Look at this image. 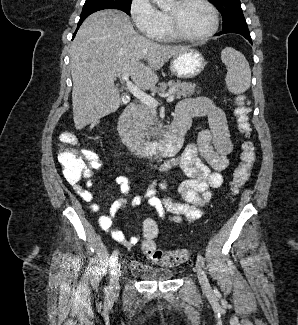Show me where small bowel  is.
Returning <instances> with one entry per match:
<instances>
[{"label":"small bowel","instance_id":"c3829d8e","mask_svg":"<svg viewBox=\"0 0 298 325\" xmlns=\"http://www.w3.org/2000/svg\"><path fill=\"white\" fill-rule=\"evenodd\" d=\"M184 102L196 104L202 111L201 115L208 117L210 128L202 130L198 134L196 143L189 144L178 157L169 160L161 167L163 172L179 167L188 177L178 186L183 201L175 202L167 195L162 198L157 197V189L154 185L150 186L144 195L132 199V205L138 206L145 200L155 209L161 220L169 219L175 222L183 218L193 221L201 216L202 207L210 201L212 191L224 183L222 173L229 165L228 155L233 149L227 118L221 108L204 98ZM116 183L123 197L114 201L109 212L100 217L99 226L109 232L115 242L132 247L138 243V236L128 239L122 231L113 229L116 216L126 207V196L131 190L132 179L128 175H122L116 178ZM93 186L94 180L88 178L85 186L75 185L74 190L82 200L90 203L91 212L98 213L101 206L94 202ZM159 187L165 190L167 185L161 182Z\"/></svg>","mask_w":298,"mask_h":325}]
</instances>
